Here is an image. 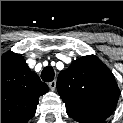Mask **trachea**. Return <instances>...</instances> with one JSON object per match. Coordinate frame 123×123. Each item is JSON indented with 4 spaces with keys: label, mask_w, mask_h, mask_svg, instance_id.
Masks as SVG:
<instances>
[{
    "label": "trachea",
    "mask_w": 123,
    "mask_h": 123,
    "mask_svg": "<svg viewBox=\"0 0 123 123\" xmlns=\"http://www.w3.org/2000/svg\"><path fill=\"white\" fill-rule=\"evenodd\" d=\"M41 78L45 82H51L54 79V70L52 67L48 66L42 70Z\"/></svg>",
    "instance_id": "trachea-1"
}]
</instances>
